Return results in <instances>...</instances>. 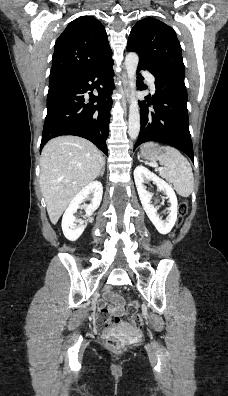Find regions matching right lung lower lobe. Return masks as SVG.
I'll use <instances>...</instances> for the list:
<instances>
[{
	"mask_svg": "<svg viewBox=\"0 0 228 396\" xmlns=\"http://www.w3.org/2000/svg\"><path fill=\"white\" fill-rule=\"evenodd\" d=\"M112 66L113 60H110L89 72L49 81L47 115L40 150L54 137L75 135L90 140L107 154L106 139L111 110L108 101L114 89ZM94 89L98 91V96L93 95ZM88 91L90 99L89 103H85L84 95Z\"/></svg>",
	"mask_w": 228,
	"mask_h": 396,
	"instance_id": "1",
	"label": "right lung lower lobe"
}]
</instances>
